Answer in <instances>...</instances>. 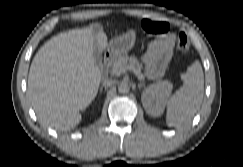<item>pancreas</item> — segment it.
<instances>
[{
    "label": "pancreas",
    "instance_id": "1",
    "mask_svg": "<svg viewBox=\"0 0 243 167\" xmlns=\"http://www.w3.org/2000/svg\"><path fill=\"white\" fill-rule=\"evenodd\" d=\"M121 66H133L138 75H141L143 79L145 78V75L141 72L143 68L142 63L134 55L130 57L127 55H120L115 58L109 65L111 74L118 76Z\"/></svg>",
    "mask_w": 243,
    "mask_h": 167
}]
</instances>
